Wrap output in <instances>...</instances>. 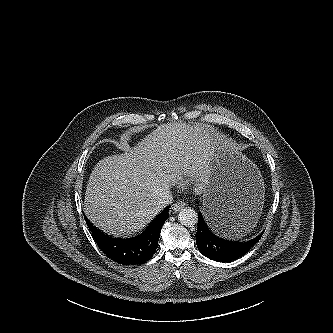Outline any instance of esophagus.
<instances>
[{
	"mask_svg": "<svg viewBox=\"0 0 333 333\" xmlns=\"http://www.w3.org/2000/svg\"><path fill=\"white\" fill-rule=\"evenodd\" d=\"M185 206V202L183 201H178L175 204L172 205V210L177 212L180 209H182Z\"/></svg>",
	"mask_w": 333,
	"mask_h": 333,
	"instance_id": "esophagus-1",
	"label": "esophagus"
}]
</instances>
